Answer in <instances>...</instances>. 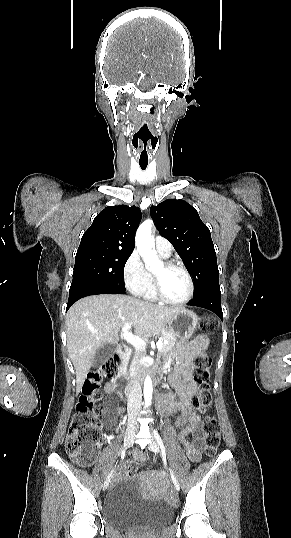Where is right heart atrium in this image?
Wrapping results in <instances>:
<instances>
[{"label": "right heart atrium", "mask_w": 291, "mask_h": 538, "mask_svg": "<svg viewBox=\"0 0 291 538\" xmlns=\"http://www.w3.org/2000/svg\"><path fill=\"white\" fill-rule=\"evenodd\" d=\"M122 276L126 288L133 295H143L149 284L150 274L145 269L141 257L136 250L132 251L124 262Z\"/></svg>", "instance_id": "right-heart-atrium-1"}]
</instances>
